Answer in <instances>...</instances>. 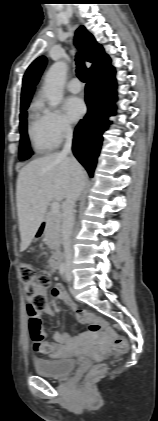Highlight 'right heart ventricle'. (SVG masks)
Instances as JSON below:
<instances>
[{
    "mask_svg": "<svg viewBox=\"0 0 158 421\" xmlns=\"http://www.w3.org/2000/svg\"><path fill=\"white\" fill-rule=\"evenodd\" d=\"M27 132L35 151L45 153L55 148L56 143L51 139L47 131L44 112L37 105L31 111Z\"/></svg>",
    "mask_w": 158,
    "mask_h": 421,
    "instance_id": "right-heart-ventricle-1",
    "label": "right heart ventricle"
}]
</instances>
